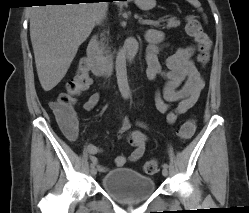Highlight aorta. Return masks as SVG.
I'll return each instance as SVG.
<instances>
[{
  "label": "aorta",
  "instance_id": "1",
  "mask_svg": "<svg viewBox=\"0 0 249 213\" xmlns=\"http://www.w3.org/2000/svg\"><path fill=\"white\" fill-rule=\"evenodd\" d=\"M116 77L119 90L123 97L130 95V89L127 78L126 68V52L124 49H120L116 57Z\"/></svg>",
  "mask_w": 249,
  "mask_h": 213
}]
</instances>
